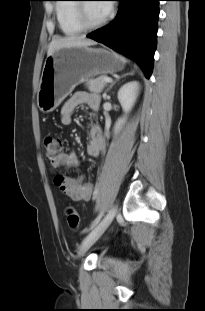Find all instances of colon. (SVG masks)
Returning <instances> with one entry per match:
<instances>
[{
  "instance_id": "5ec220e1",
  "label": "colon",
  "mask_w": 205,
  "mask_h": 311,
  "mask_svg": "<svg viewBox=\"0 0 205 311\" xmlns=\"http://www.w3.org/2000/svg\"><path fill=\"white\" fill-rule=\"evenodd\" d=\"M62 147V142L60 139L52 137V136H45L44 137V148H45V158L48 161H52L60 152ZM66 220L69 228L71 230H77L80 225V217L78 212L69 207L66 210Z\"/></svg>"
}]
</instances>
